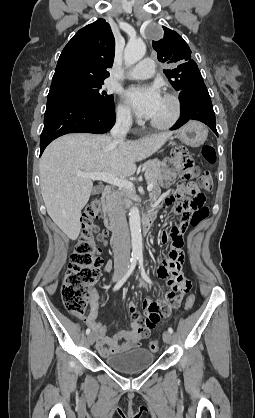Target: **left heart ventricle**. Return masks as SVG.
<instances>
[{"label":"left heart ventricle","instance_id":"left-heart-ventricle-1","mask_svg":"<svg viewBox=\"0 0 255 418\" xmlns=\"http://www.w3.org/2000/svg\"><path fill=\"white\" fill-rule=\"evenodd\" d=\"M172 111V103L165 97H162L158 108L150 119L157 122H164L171 116Z\"/></svg>","mask_w":255,"mask_h":418}]
</instances>
